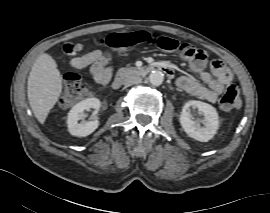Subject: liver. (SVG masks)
Wrapping results in <instances>:
<instances>
[{"instance_id":"1","label":"liver","mask_w":270,"mask_h":213,"mask_svg":"<svg viewBox=\"0 0 270 213\" xmlns=\"http://www.w3.org/2000/svg\"><path fill=\"white\" fill-rule=\"evenodd\" d=\"M62 92V76L56 61L42 53L34 62L27 82V96L37 120L43 124Z\"/></svg>"}]
</instances>
